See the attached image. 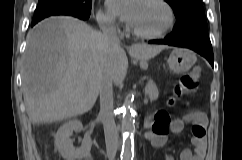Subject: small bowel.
I'll list each match as a JSON object with an SVG mask.
<instances>
[{
    "label": "small bowel",
    "instance_id": "c3829d8e",
    "mask_svg": "<svg viewBox=\"0 0 242 160\" xmlns=\"http://www.w3.org/2000/svg\"><path fill=\"white\" fill-rule=\"evenodd\" d=\"M185 123L193 124L191 141L194 149L193 151L184 149L180 154V160H204L206 153V119L199 112H190L183 119L171 120L164 133H158L152 129L147 133V138L154 147L162 149L167 143V134L169 132L173 134L181 133ZM165 160H174V158L171 155H166Z\"/></svg>",
    "mask_w": 242,
    "mask_h": 160
}]
</instances>
